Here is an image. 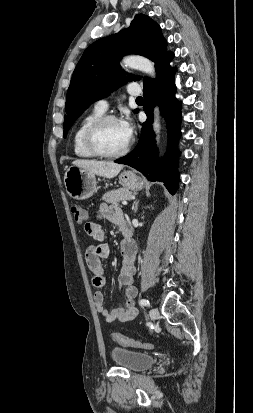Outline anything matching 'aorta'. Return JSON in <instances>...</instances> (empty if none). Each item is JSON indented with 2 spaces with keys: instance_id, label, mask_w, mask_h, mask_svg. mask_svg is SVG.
Returning a JSON list of instances; mask_svg holds the SVG:
<instances>
[{
  "instance_id": "1",
  "label": "aorta",
  "mask_w": 253,
  "mask_h": 413,
  "mask_svg": "<svg viewBox=\"0 0 253 413\" xmlns=\"http://www.w3.org/2000/svg\"><path fill=\"white\" fill-rule=\"evenodd\" d=\"M122 63L126 67H130L133 69L140 70L146 74H148L150 77H155L156 72H155V66L152 61L149 59L142 57V56H127L123 59ZM153 129L156 134V142L159 143L160 140V120L159 116L156 113L154 122H153Z\"/></svg>"
}]
</instances>
